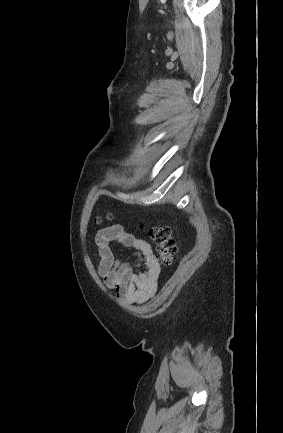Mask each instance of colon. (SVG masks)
<instances>
[{"label":"colon","mask_w":283,"mask_h":433,"mask_svg":"<svg viewBox=\"0 0 283 433\" xmlns=\"http://www.w3.org/2000/svg\"><path fill=\"white\" fill-rule=\"evenodd\" d=\"M149 236L157 246L161 262L169 266L173 263L177 246L169 226H154L149 229Z\"/></svg>","instance_id":"1"}]
</instances>
